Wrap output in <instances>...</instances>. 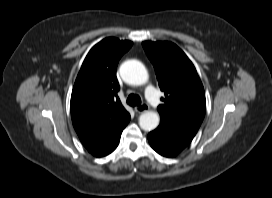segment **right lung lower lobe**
Segmentation results:
<instances>
[{"mask_svg": "<svg viewBox=\"0 0 272 198\" xmlns=\"http://www.w3.org/2000/svg\"><path fill=\"white\" fill-rule=\"evenodd\" d=\"M129 120L130 115H127L103 139L94 145L87 147L88 151L96 157H102L114 151L118 146L121 133Z\"/></svg>", "mask_w": 272, "mask_h": 198, "instance_id": "obj_1", "label": "right lung lower lobe"}]
</instances>
